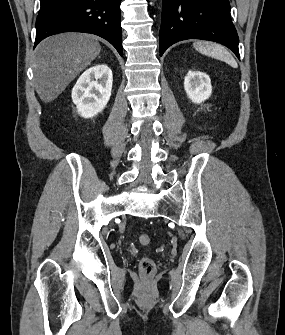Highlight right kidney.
Returning <instances> with one entry per match:
<instances>
[{"instance_id":"ca27d5eb","label":"right kidney","mask_w":285,"mask_h":335,"mask_svg":"<svg viewBox=\"0 0 285 335\" xmlns=\"http://www.w3.org/2000/svg\"><path fill=\"white\" fill-rule=\"evenodd\" d=\"M112 70L106 64H96L86 70L72 90V100L82 118H93L106 108L112 90Z\"/></svg>"}]
</instances>
